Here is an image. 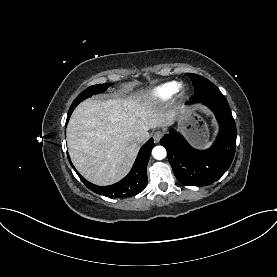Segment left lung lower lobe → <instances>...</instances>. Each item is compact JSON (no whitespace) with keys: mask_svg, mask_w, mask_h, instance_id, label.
Listing matches in <instances>:
<instances>
[{"mask_svg":"<svg viewBox=\"0 0 277 277\" xmlns=\"http://www.w3.org/2000/svg\"><path fill=\"white\" fill-rule=\"evenodd\" d=\"M203 103L214 113L220 125L219 135L207 150H196L176 131L160 140L168 153L175 177L187 186H205L217 181L230 167L236 149V125L225 96L207 91L190 98L188 104Z\"/></svg>","mask_w":277,"mask_h":277,"instance_id":"obj_1","label":"left lung lower lobe"}]
</instances>
